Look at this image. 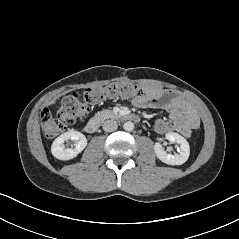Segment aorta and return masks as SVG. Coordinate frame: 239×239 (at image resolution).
Listing matches in <instances>:
<instances>
[{
  "label": "aorta",
  "mask_w": 239,
  "mask_h": 239,
  "mask_svg": "<svg viewBox=\"0 0 239 239\" xmlns=\"http://www.w3.org/2000/svg\"><path fill=\"white\" fill-rule=\"evenodd\" d=\"M123 128H124L125 131L131 132L134 129V124L130 121L125 122L124 125H123Z\"/></svg>",
  "instance_id": "1"
}]
</instances>
